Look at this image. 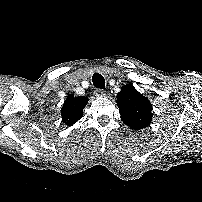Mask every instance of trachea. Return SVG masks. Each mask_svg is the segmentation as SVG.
I'll use <instances>...</instances> for the list:
<instances>
[{
	"label": "trachea",
	"mask_w": 202,
	"mask_h": 202,
	"mask_svg": "<svg viewBox=\"0 0 202 202\" xmlns=\"http://www.w3.org/2000/svg\"><path fill=\"white\" fill-rule=\"evenodd\" d=\"M92 82H93V85L96 88H100V89H104L105 88V79L99 73H94L93 74V76H92Z\"/></svg>",
	"instance_id": "obj_1"
}]
</instances>
